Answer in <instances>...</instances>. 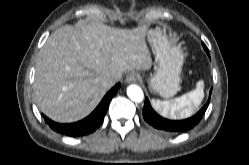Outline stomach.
Instances as JSON below:
<instances>
[{"label":"stomach","instance_id":"1","mask_svg":"<svg viewBox=\"0 0 249 165\" xmlns=\"http://www.w3.org/2000/svg\"><path fill=\"white\" fill-rule=\"evenodd\" d=\"M147 40L155 55V72L148 80L150 90L164 98L174 96L180 88L184 55L158 28H149Z\"/></svg>","mask_w":249,"mask_h":165}]
</instances>
